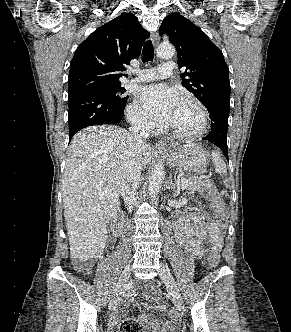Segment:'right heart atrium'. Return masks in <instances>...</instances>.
I'll return each mask as SVG.
<instances>
[{"label": "right heart atrium", "instance_id": "obj_1", "mask_svg": "<svg viewBox=\"0 0 291 332\" xmlns=\"http://www.w3.org/2000/svg\"><path fill=\"white\" fill-rule=\"evenodd\" d=\"M127 118L131 124L140 129L148 131L155 128V124L148 118L144 110L137 102H133L128 106Z\"/></svg>", "mask_w": 291, "mask_h": 332}]
</instances>
